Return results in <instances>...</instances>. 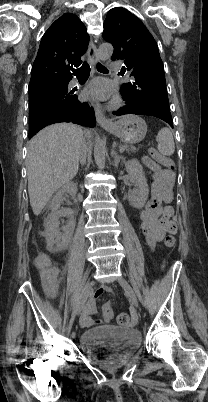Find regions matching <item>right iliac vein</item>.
<instances>
[{
  "label": "right iliac vein",
  "instance_id": "right-iliac-vein-1",
  "mask_svg": "<svg viewBox=\"0 0 208 402\" xmlns=\"http://www.w3.org/2000/svg\"><path fill=\"white\" fill-rule=\"evenodd\" d=\"M91 288H92V282L90 280H88L86 282L85 286H84V289H83L82 299L80 301V304H79V307H78V310H77L78 315L82 312V310L85 307L87 298H88V296H89V294L91 292Z\"/></svg>",
  "mask_w": 208,
  "mask_h": 402
}]
</instances>
